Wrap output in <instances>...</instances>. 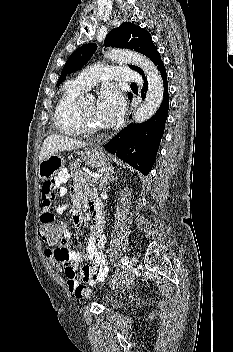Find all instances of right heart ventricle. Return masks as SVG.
Returning a JSON list of instances; mask_svg holds the SVG:
<instances>
[{
	"label": "right heart ventricle",
	"instance_id": "1",
	"mask_svg": "<svg viewBox=\"0 0 233 352\" xmlns=\"http://www.w3.org/2000/svg\"><path fill=\"white\" fill-rule=\"evenodd\" d=\"M85 89L78 86L74 81L66 83L63 94L57 103L54 120L60 132L69 136H77L82 133L78 119V97Z\"/></svg>",
	"mask_w": 233,
	"mask_h": 352
}]
</instances>
